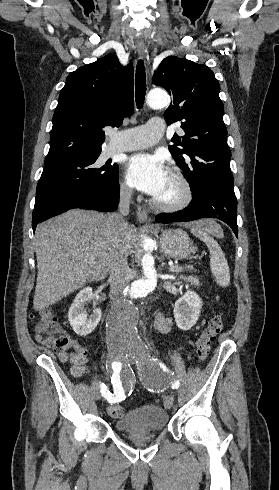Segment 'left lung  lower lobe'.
<instances>
[{
  "label": "left lung lower lobe",
  "instance_id": "0a47b994",
  "mask_svg": "<svg viewBox=\"0 0 279 490\" xmlns=\"http://www.w3.org/2000/svg\"><path fill=\"white\" fill-rule=\"evenodd\" d=\"M191 205L173 214H159L156 222H186L200 218H217L227 223L238 237L237 199L234 188L206 182L192 193Z\"/></svg>",
  "mask_w": 279,
  "mask_h": 490
}]
</instances>
